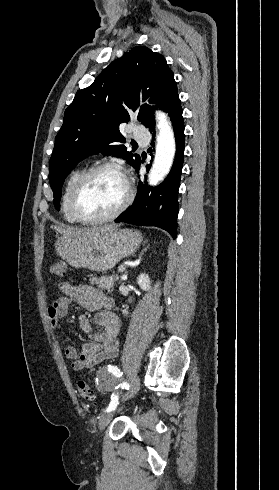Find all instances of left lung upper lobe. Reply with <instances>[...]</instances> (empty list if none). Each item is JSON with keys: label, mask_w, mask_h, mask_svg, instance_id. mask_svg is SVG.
<instances>
[{"label": "left lung upper lobe", "mask_w": 279, "mask_h": 490, "mask_svg": "<svg viewBox=\"0 0 279 490\" xmlns=\"http://www.w3.org/2000/svg\"><path fill=\"white\" fill-rule=\"evenodd\" d=\"M143 101L159 104L166 111L178 96L174 74L164 57L144 46H136L114 60L94 83L79 90L65 110L63 125L55 139L49 162V182L54 193L55 208H59L61 188L69 172L84 158L101 152L124 158L134 167L140 156L128 152L119 124L128 122L130 114L149 127L154 123L153 112Z\"/></svg>", "instance_id": "left-lung-upper-lobe-1"}]
</instances>
